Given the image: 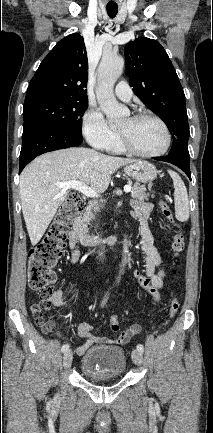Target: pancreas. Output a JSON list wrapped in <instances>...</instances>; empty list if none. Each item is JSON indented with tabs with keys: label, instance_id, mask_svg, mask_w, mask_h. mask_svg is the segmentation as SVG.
Returning <instances> with one entry per match:
<instances>
[{
	"label": "pancreas",
	"instance_id": "obj_1",
	"mask_svg": "<svg viewBox=\"0 0 213 433\" xmlns=\"http://www.w3.org/2000/svg\"><path fill=\"white\" fill-rule=\"evenodd\" d=\"M151 186L149 185V190H151ZM131 197L138 200H148L149 193H146V188L140 184H134L131 190ZM94 218V214L91 209H87L82 217V221L84 226L87 227L91 219Z\"/></svg>",
	"mask_w": 213,
	"mask_h": 433
}]
</instances>
